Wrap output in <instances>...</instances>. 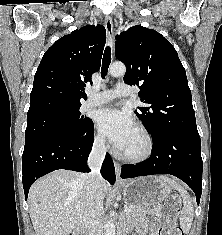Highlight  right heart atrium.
Here are the masks:
<instances>
[{"label":"right heart atrium","instance_id":"d8ad5b80","mask_svg":"<svg viewBox=\"0 0 222 235\" xmlns=\"http://www.w3.org/2000/svg\"><path fill=\"white\" fill-rule=\"evenodd\" d=\"M94 147L97 150H104L106 148L105 138L101 134H96L94 137Z\"/></svg>","mask_w":222,"mask_h":235}]
</instances>
